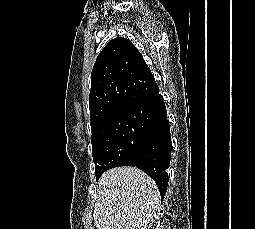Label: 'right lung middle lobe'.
Wrapping results in <instances>:
<instances>
[{"instance_id": "obj_1", "label": "right lung middle lobe", "mask_w": 255, "mask_h": 229, "mask_svg": "<svg viewBox=\"0 0 255 229\" xmlns=\"http://www.w3.org/2000/svg\"><path fill=\"white\" fill-rule=\"evenodd\" d=\"M147 133L142 118L122 110L92 132V156L98 180L108 169L134 163Z\"/></svg>"}]
</instances>
